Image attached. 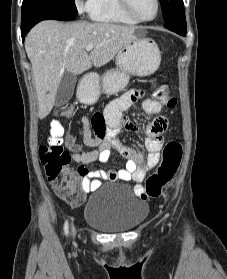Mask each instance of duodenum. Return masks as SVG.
Returning <instances> with one entry per match:
<instances>
[{"label":"duodenum","instance_id":"410a0bca","mask_svg":"<svg viewBox=\"0 0 227 279\" xmlns=\"http://www.w3.org/2000/svg\"><path fill=\"white\" fill-rule=\"evenodd\" d=\"M86 95H87L86 92L79 93V99H78L79 103L88 104V102L85 100Z\"/></svg>","mask_w":227,"mask_h":279}]
</instances>
